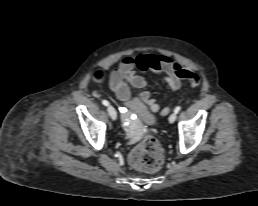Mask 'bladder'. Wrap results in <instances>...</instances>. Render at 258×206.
<instances>
[{"instance_id":"bladder-1","label":"bladder","mask_w":258,"mask_h":206,"mask_svg":"<svg viewBox=\"0 0 258 206\" xmlns=\"http://www.w3.org/2000/svg\"><path fill=\"white\" fill-rule=\"evenodd\" d=\"M127 106L132 112L136 113L145 124L152 125L155 123V115L149 110L148 106L139 99L128 100Z\"/></svg>"}]
</instances>
